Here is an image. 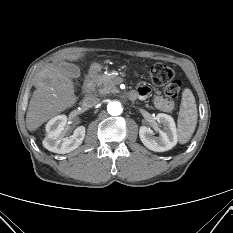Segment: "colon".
<instances>
[{
    "instance_id": "obj_1",
    "label": "colon",
    "mask_w": 233,
    "mask_h": 233,
    "mask_svg": "<svg viewBox=\"0 0 233 233\" xmlns=\"http://www.w3.org/2000/svg\"><path fill=\"white\" fill-rule=\"evenodd\" d=\"M154 84L162 86L163 93L168 98H177L181 93V83L174 78V70L166 64L155 63L150 69Z\"/></svg>"
}]
</instances>
